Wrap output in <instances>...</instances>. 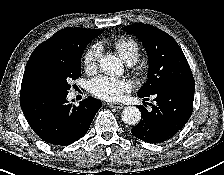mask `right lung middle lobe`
Segmentation results:
<instances>
[{"label": "right lung middle lobe", "instance_id": "obj_1", "mask_svg": "<svg viewBox=\"0 0 224 175\" xmlns=\"http://www.w3.org/2000/svg\"><path fill=\"white\" fill-rule=\"evenodd\" d=\"M86 42L63 54H42L27 62L21 89L46 88L68 91L69 82L81 74V57Z\"/></svg>", "mask_w": 224, "mask_h": 175}]
</instances>
